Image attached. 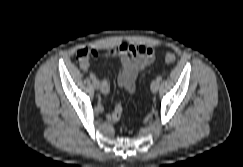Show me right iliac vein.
Returning a JSON list of instances; mask_svg holds the SVG:
<instances>
[{"mask_svg":"<svg viewBox=\"0 0 243 167\" xmlns=\"http://www.w3.org/2000/svg\"><path fill=\"white\" fill-rule=\"evenodd\" d=\"M93 86L95 87V89H99L100 88V82L97 79L93 80Z\"/></svg>","mask_w":243,"mask_h":167,"instance_id":"1","label":"right iliac vein"}]
</instances>
